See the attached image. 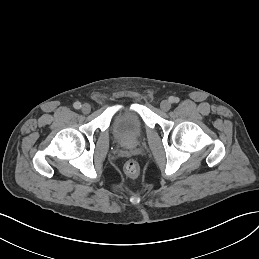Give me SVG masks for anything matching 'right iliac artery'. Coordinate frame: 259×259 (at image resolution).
I'll return each mask as SVG.
<instances>
[{"label":"right iliac artery","instance_id":"82829eb1","mask_svg":"<svg viewBox=\"0 0 259 259\" xmlns=\"http://www.w3.org/2000/svg\"><path fill=\"white\" fill-rule=\"evenodd\" d=\"M73 107H74L75 109H80V108H81V103H80V102H75V103L73 104Z\"/></svg>","mask_w":259,"mask_h":259}]
</instances>
